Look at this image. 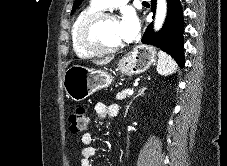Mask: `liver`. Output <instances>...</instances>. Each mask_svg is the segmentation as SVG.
<instances>
[{"mask_svg": "<svg viewBox=\"0 0 227 166\" xmlns=\"http://www.w3.org/2000/svg\"><path fill=\"white\" fill-rule=\"evenodd\" d=\"M112 57L110 58H105L102 60H92V62L96 65H107L108 63H110L112 61Z\"/></svg>", "mask_w": 227, "mask_h": 166, "instance_id": "1", "label": "liver"}]
</instances>
